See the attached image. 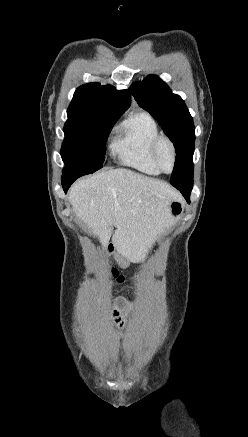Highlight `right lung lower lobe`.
<instances>
[{
	"label": "right lung lower lobe",
	"mask_w": 248,
	"mask_h": 437,
	"mask_svg": "<svg viewBox=\"0 0 248 437\" xmlns=\"http://www.w3.org/2000/svg\"><path fill=\"white\" fill-rule=\"evenodd\" d=\"M80 176H81L80 174H71V175H63L62 176V186H63L65 193L67 192L70 185Z\"/></svg>",
	"instance_id": "1"
}]
</instances>
